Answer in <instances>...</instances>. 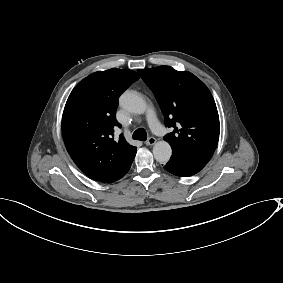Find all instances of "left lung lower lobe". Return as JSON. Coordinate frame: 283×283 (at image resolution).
<instances>
[{"label":"left lung lower lobe","instance_id":"0a47b994","mask_svg":"<svg viewBox=\"0 0 283 283\" xmlns=\"http://www.w3.org/2000/svg\"><path fill=\"white\" fill-rule=\"evenodd\" d=\"M204 166L205 163L172 154L170 161L164 166V169L174 175L187 177L198 173Z\"/></svg>","mask_w":283,"mask_h":283}]
</instances>
